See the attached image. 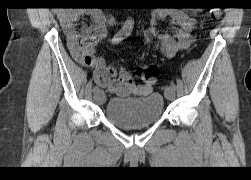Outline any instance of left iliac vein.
<instances>
[{
	"instance_id": "4c4485c4",
	"label": "left iliac vein",
	"mask_w": 251,
	"mask_h": 180,
	"mask_svg": "<svg viewBox=\"0 0 251 180\" xmlns=\"http://www.w3.org/2000/svg\"><path fill=\"white\" fill-rule=\"evenodd\" d=\"M164 94L168 100H173L175 98V89L172 88L171 86L166 87Z\"/></svg>"
}]
</instances>
